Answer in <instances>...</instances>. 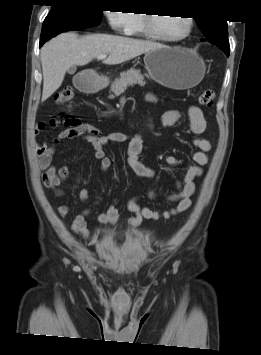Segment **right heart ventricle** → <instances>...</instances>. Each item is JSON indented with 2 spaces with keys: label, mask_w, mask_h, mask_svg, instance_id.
<instances>
[{
  "label": "right heart ventricle",
  "mask_w": 261,
  "mask_h": 355,
  "mask_svg": "<svg viewBox=\"0 0 261 355\" xmlns=\"http://www.w3.org/2000/svg\"><path fill=\"white\" fill-rule=\"evenodd\" d=\"M143 13L133 14V24L129 31V35L133 36H147L143 27Z\"/></svg>",
  "instance_id": "e07e8e85"
}]
</instances>
